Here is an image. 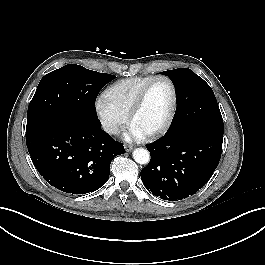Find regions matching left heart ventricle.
Returning <instances> with one entry per match:
<instances>
[{
    "instance_id": "obj_1",
    "label": "left heart ventricle",
    "mask_w": 265,
    "mask_h": 265,
    "mask_svg": "<svg viewBox=\"0 0 265 265\" xmlns=\"http://www.w3.org/2000/svg\"><path fill=\"white\" fill-rule=\"evenodd\" d=\"M171 104L172 91L169 83L165 80L156 81L131 125L144 134L154 131L166 120Z\"/></svg>"
}]
</instances>
